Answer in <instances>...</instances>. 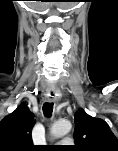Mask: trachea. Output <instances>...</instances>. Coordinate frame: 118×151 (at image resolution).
<instances>
[{"mask_svg":"<svg viewBox=\"0 0 118 151\" xmlns=\"http://www.w3.org/2000/svg\"><path fill=\"white\" fill-rule=\"evenodd\" d=\"M52 112H53V103L45 102L43 104V113H44V115L47 118H49V117H51Z\"/></svg>","mask_w":118,"mask_h":151,"instance_id":"trachea-1","label":"trachea"}]
</instances>
